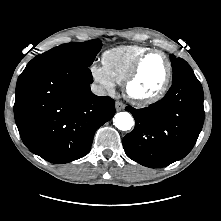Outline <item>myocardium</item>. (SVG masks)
Wrapping results in <instances>:
<instances>
[{
    "mask_svg": "<svg viewBox=\"0 0 221 221\" xmlns=\"http://www.w3.org/2000/svg\"><path fill=\"white\" fill-rule=\"evenodd\" d=\"M154 53L161 54L167 63V73H166L164 82H163L162 86L160 87V89L153 94L146 95V96L136 95L131 90L132 84L134 83L135 79L137 78L144 60L148 56H150L151 54H154ZM172 75H173V63H172L171 59L169 58L168 54L160 49H149L137 58V60L135 61V63L131 67L130 71L128 72V74L123 82L125 95L129 100H131L132 102H134L135 104L140 105V106L153 104V103L159 101L160 99H162L165 96V94L167 93L170 83H171Z\"/></svg>",
    "mask_w": 221,
    "mask_h": 221,
    "instance_id": "obj_1",
    "label": "myocardium"
}]
</instances>
